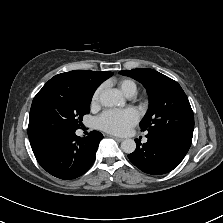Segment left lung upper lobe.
<instances>
[{"label": "left lung upper lobe", "instance_id": "5c2ea615", "mask_svg": "<svg viewBox=\"0 0 223 223\" xmlns=\"http://www.w3.org/2000/svg\"><path fill=\"white\" fill-rule=\"evenodd\" d=\"M120 74L141 82L147 90L149 109L140 122L148 133H164L192 141L194 115L181 86L148 68L122 70Z\"/></svg>", "mask_w": 223, "mask_h": 223}]
</instances>
